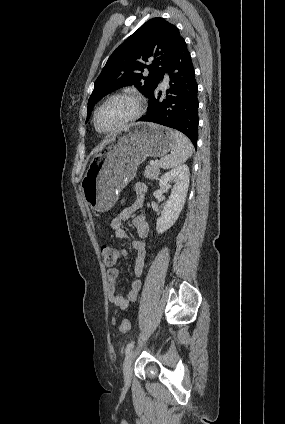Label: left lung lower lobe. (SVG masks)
Instances as JSON below:
<instances>
[{
  "instance_id": "left-lung-lower-lobe-1",
  "label": "left lung lower lobe",
  "mask_w": 285,
  "mask_h": 424,
  "mask_svg": "<svg viewBox=\"0 0 285 424\" xmlns=\"http://www.w3.org/2000/svg\"><path fill=\"white\" fill-rule=\"evenodd\" d=\"M165 72H168L170 78V88L166 90V97H161L162 92L159 91L158 84L149 96L147 114L139 121L154 122L177 129L184 133L196 147L199 123L198 84L190 53L182 37L175 47Z\"/></svg>"
}]
</instances>
